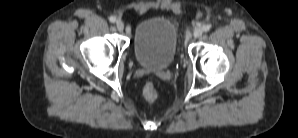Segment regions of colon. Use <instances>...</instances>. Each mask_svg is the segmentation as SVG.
Returning a JSON list of instances; mask_svg holds the SVG:
<instances>
[{
    "label": "colon",
    "instance_id": "colon-1",
    "mask_svg": "<svg viewBox=\"0 0 298 138\" xmlns=\"http://www.w3.org/2000/svg\"><path fill=\"white\" fill-rule=\"evenodd\" d=\"M158 91L153 83H147L143 88V97L146 102L152 103L156 100Z\"/></svg>",
    "mask_w": 298,
    "mask_h": 138
}]
</instances>
